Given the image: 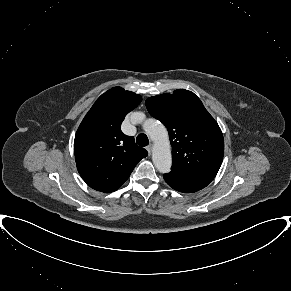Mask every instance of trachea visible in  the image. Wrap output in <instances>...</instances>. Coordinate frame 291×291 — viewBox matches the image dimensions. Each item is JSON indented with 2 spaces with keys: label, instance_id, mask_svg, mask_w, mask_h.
Masks as SVG:
<instances>
[{
  "label": "trachea",
  "instance_id": "3493384b",
  "mask_svg": "<svg viewBox=\"0 0 291 291\" xmlns=\"http://www.w3.org/2000/svg\"><path fill=\"white\" fill-rule=\"evenodd\" d=\"M136 143L139 146L145 147L149 144V139L146 134H139L136 138Z\"/></svg>",
  "mask_w": 291,
  "mask_h": 291
}]
</instances>
